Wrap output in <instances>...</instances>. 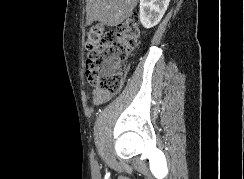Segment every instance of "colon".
<instances>
[{
	"mask_svg": "<svg viewBox=\"0 0 244 179\" xmlns=\"http://www.w3.org/2000/svg\"><path fill=\"white\" fill-rule=\"evenodd\" d=\"M141 27L127 19L111 30L102 25L91 27L85 40L88 82L99 92L116 94L122 84L118 67L140 46Z\"/></svg>",
	"mask_w": 244,
	"mask_h": 179,
	"instance_id": "5ec220e1",
	"label": "colon"
}]
</instances>
